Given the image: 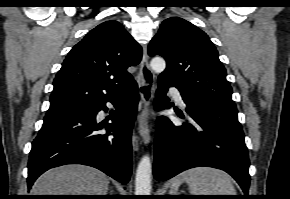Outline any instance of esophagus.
<instances>
[{
  "label": "esophagus",
  "mask_w": 290,
  "mask_h": 199,
  "mask_svg": "<svg viewBox=\"0 0 290 199\" xmlns=\"http://www.w3.org/2000/svg\"><path fill=\"white\" fill-rule=\"evenodd\" d=\"M139 92L143 104V111L139 115L138 131L145 144L150 142V128L146 119L145 111L150 105L154 94L155 75L152 72L147 55L146 46L143 47L142 60L139 68Z\"/></svg>",
  "instance_id": "34e87169"
}]
</instances>
